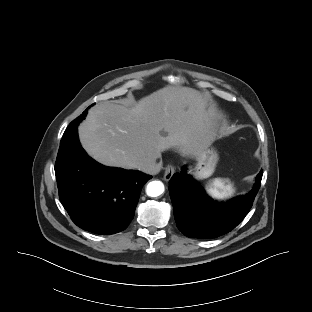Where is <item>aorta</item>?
Returning <instances> with one entry per match:
<instances>
[{
	"label": "aorta",
	"instance_id": "obj_1",
	"mask_svg": "<svg viewBox=\"0 0 312 312\" xmlns=\"http://www.w3.org/2000/svg\"><path fill=\"white\" fill-rule=\"evenodd\" d=\"M164 184L161 181H151L146 187V193L149 197H158L164 192Z\"/></svg>",
	"mask_w": 312,
	"mask_h": 312
}]
</instances>
